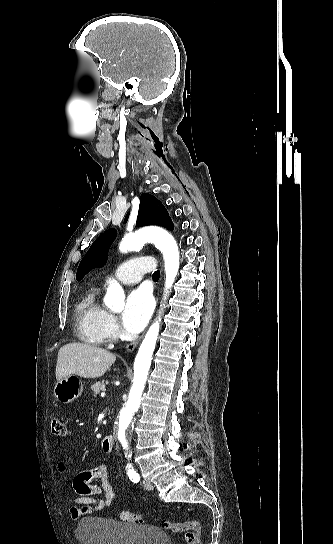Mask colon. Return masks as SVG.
Listing matches in <instances>:
<instances>
[{
    "instance_id": "colon-1",
    "label": "colon",
    "mask_w": 333,
    "mask_h": 544,
    "mask_svg": "<svg viewBox=\"0 0 333 544\" xmlns=\"http://www.w3.org/2000/svg\"><path fill=\"white\" fill-rule=\"evenodd\" d=\"M50 426L53 435L58 437H65L67 435L66 425L61 419L52 418ZM118 516L121 520L130 523H142L144 521L141 514L132 513L126 510L120 511ZM162 526L173 532L184 534L186 544H202L201 525L197 521L171 522L169 520H163Z\"/></svg>"
}]
</instances>
